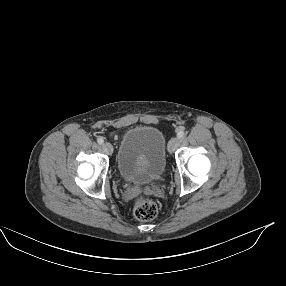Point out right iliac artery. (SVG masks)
Returning a JSON list of instances; mask_svg holds the SVG:
<instances>
[{
	"label": "right iliac artery",
	"mask_w": 286,
	"mask_h": 286,
	"mask_svg": "<svg viewBox=\"0 0 286 286\" xmlns=\"http://www.w3.org/2000/svg\"><path fill=\"white\" fill-rule=\"evenodd\" d=\"M97 142H98L99 144H102V143L104 142V139H103L102 137H99V138L97 139Z\"/></svg>",
	"instance_id": "right-iliac-artery-1"
}]
</instances>
